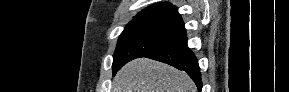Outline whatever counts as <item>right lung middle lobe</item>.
I'll list each match as a JSON object with an SVG mask.
<instances>
[{
    "instance_id": "1",
    "label": "right lung middle lobe",
    "mask_w": 289,
    "mask_h": 92,
    "mask_svg": "<svg viewBox=\"0 0 289 92\" xmlns=\"http://www.w3.org/2000/svg\"><path fill=\"white\" fill-rule=\"evenodd\" d=\"M186 37L183 25L132 20L121 33L113 55V74L132 59L173 45Z\"/></svg>"
}]
</instances>
